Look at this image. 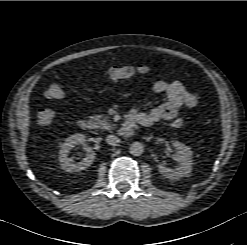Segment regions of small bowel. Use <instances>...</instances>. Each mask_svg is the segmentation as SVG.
<instances>
[{
  "label": "small bowel",
  "instance_id": "obj_1",
  "mask_svg": "<svg viewBox=\"0 0 247 245\" xmlns=\"http://www.w3.org/2000/svg\"><path fill=\"white\" fill-rule=\"evenodd\" d=\"M153 90L165 94L167 100L148 112L132 111L143 126H150L159 121H174L181 109L195 108L198 105V98L178 80H159L154 83Z\"/></svg>",
  "mask_w": 247,
  "mask_h": 245
}]
</instances>
